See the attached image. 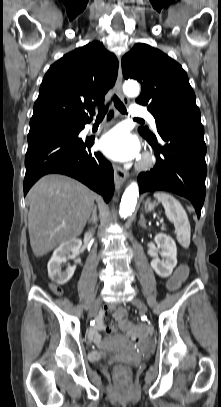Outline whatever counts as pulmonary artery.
I'll return each mask as SVG.
<instances>
[{"label":"pulmonary artery","instance_id":"pulmonary-artery-1","mask_svg":"<svg viewBox=\"0 0 221 407\" xmlns=\"http://www.w3.org/2000/svg\"><path fill=\"white\" fill-rule=\"evenodd\" d=\"M130 114L134 117H144L148 120V122L151 124L153 128H156V120L155 118L143 107L139 105H132L130 107ZM89 128H92V125L88 126Z\"/></svg>","mask_w":221,"mask_h":407}]
</instances>
